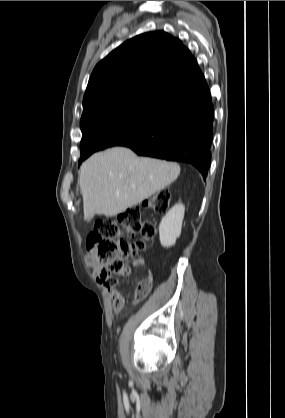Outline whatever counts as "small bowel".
Masks as SVG:
<instances>
[{
  "instance_id": "small-bowel-1",
  "label": "small bowel",
  "mask_w": 285,
  "mask_h": 418,
  "mask_svg": "<svg viewBox=\"0 0 285 418\" xmlns=\"http://www.w3.org/2000/svg\"><path fill=\"white\" fill-rule=\"evenodd\" d=\"M134 264L137 267H144L145 260L143 258H137ZM89 266L93 270L94 273L98 274L100 272L101 264L97 260L89 261ZM153 280H154L153 272L150 267H147L145 271V276L142 281L145 283H148L149 290L153 283ZM106 290H107V295L112 302V312L114 314L120 313L125 303L123 295L119 291H117L114 287H106ZM135 300L138 302L137 299Z\"/></svg>"
}]
</instances>
